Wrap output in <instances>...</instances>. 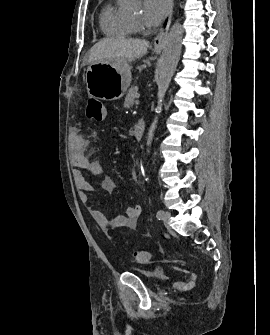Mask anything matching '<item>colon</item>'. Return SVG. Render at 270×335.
Returning <instances> with one entry per match:
<instances>
[{"label": "colon", "mask_w": 270, "mask_h": 335, "mask_svg": "<svg viewBox=\"0 0 270 335\" xmlns=\"http://www.w3.org/2000/svg\"><path fill=\"white\" fill-rule=\"evenodd\" d=\"M107 115L106 107L102 99L98 97H90L85 110V116L89 121L96 123L102 122ZM133 260L139 264H148L151 255L147 250L136 249L133 251Z\"/></svg>", "instance_id": "1"}]
</instances>
